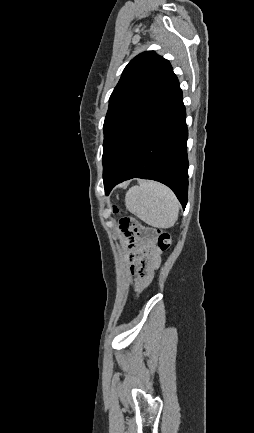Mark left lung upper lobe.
Returning <instances> with one entry per match:
<instances>
[{
  "label": "left lung upper lobe",
  "instance_id": "left-lung-upper-lobe-1",
  "mask_svg": "<svg viewBox=\"0 0 254 433\" xmlns=\"http://www.w3.org/2000/svg\"><path fill=\"white\" fill-rule=\"evenodd\" d=\"M168 60L154 51L133 58L109 99L104 121L103 180L123 160L137 132L176 83Z\"/></svg>",
  "mask_w": 254,
  "mask_h": 433
}]
</instances>
